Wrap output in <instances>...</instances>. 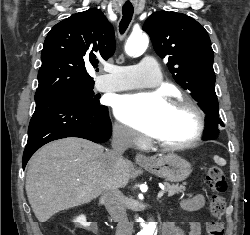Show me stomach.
I'll list each match as a JSON object with an SVG mask.
<instances>
[{
  "mask_svg": "<svg viewBox=\"0 0 250 235\" xmlns=\"http://www.w3.org/2000/svg\"><path fill=\"white\" fill-rule=\"evenodd\" d=\"M148 172L170 182L184 181L191 173V164L180 156L170 153L142 164Z\"/></svg>",
  "mask_w": 250,
  "mask_h": 235,
  "instance_id": "0dacf381",
  "label": "stomach"
}]
</instances>
